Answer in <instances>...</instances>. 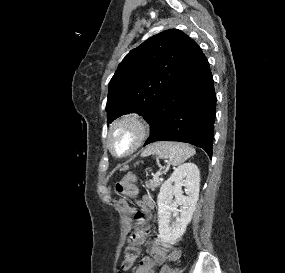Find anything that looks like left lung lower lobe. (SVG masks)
<instances>
[{"instance_id": "0a47b994", "label": "left lung lower lobe", "mask_w": 285, "mask_h": 273, "mask_svg": "<svg viewBox=\"0 0 285 273\" xmlns=\"http://www.w3.org/2000/svg\"><path fill=\"white\" fill-rule=\"evenodd\" d=\"M216 94L207 58L192 41L186 62L173 85L150 111V137L180 141L203 148L212 157Z\"/></svg>"}]
</instances>
